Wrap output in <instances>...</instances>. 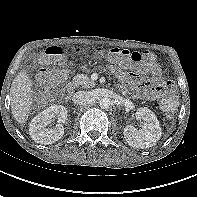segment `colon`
<instances>
[{"instance_id":"1","label":"colon","mask_w":197,"mask_h":197,"mask_svg":"<svg viewBox=\"0 0 197 197\" xmlns=\"http://www.w3.org/2000/svg\"><path fill=\"white\" fill-rule=\"evenodd\" d=\"M86 52V49L81 48L63 49L57 46L49 47L44 52L42 61L53 68L46 69L40 76L39 85L36 89L37 95L42 97L49 96L56 86L66 79L67 69L63 61V56L65 54ZM97 53L99 55H105L114 61L133 63L142 69L151 68L156 62V57L149 51H130L122 48H111L107 51L97 49ZM177 104V98L174 95H170L162 101L161 106L167 117H171L174 114Z\"/></svg>"}]
</instances>
